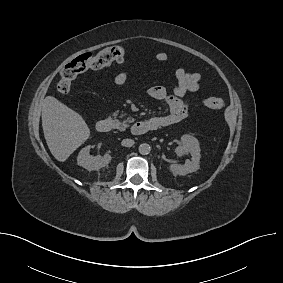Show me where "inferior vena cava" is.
Here are the masks:
<instances>
[{"mask_svg": "<svg viewBox=\"0 0 283 283\" xmlns=\"http://www.w3.org/2000/svg\"><path fill=\"white\" fill-rule=\"evenodd\" d=\"M134 143L135 142L132 139H123L121 142L122 146H125V147H131L134 145Z\"/></svg>", "mask_w": 283, "mask_h": 283, "instance_id": "1", "label": "inferior vena cava"}]
</instances>
